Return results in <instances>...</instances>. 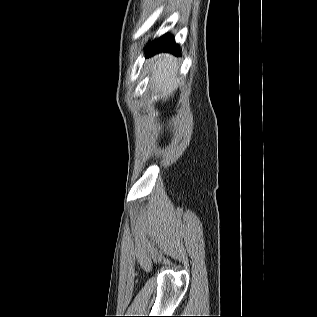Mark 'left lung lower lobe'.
<instances>
[{
    "mask_svg": "<svg viewBox=\"0 0 317 317\" xmlns=\"http://www.w3.org/2000/svg\"><path fill=\"white\" fill-rule=\"evenodd\" d=\"M160 52H169L176 56L180 55L178 45L175 43L174 39L168 34H165L160 38L156 39L155 41H153L152 44H150L147 48L146 56H153Z\"/></svg>",
    "mask_w": 317,
    "mask_h": 317,
    "instance_id": "1",
    "label": "left lung lower lobe"
}]
</instances>
